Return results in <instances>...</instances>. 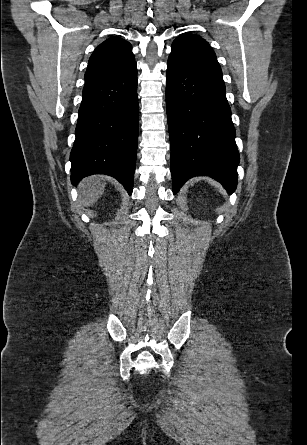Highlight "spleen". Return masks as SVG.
<instances>
[{"label": "spleen", "mask_w": 307, "mask_h": 445, "mask_svg": "<svg viewBox=\"0 0 307 445\" xmlns=\"http://www.w3.org/2000/svg\"><path fill=\"white\" fill-rule=\"evenodd\" d=\"M209 182H212V184H215V186H219L218 182H215V180H211V178H208Z\"/></svg>", "instance_id": "1"}]
</instances>
